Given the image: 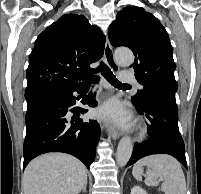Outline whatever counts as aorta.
I'll return each mask as SVG.
<instances>
[{"label": "aorta", "mask_w": 201, "mask_h": 194, "mask_svg": "<svg viewBox=\"0 0 201 194\" xmlns=\"http://www.w3.org/2000/svg\"><path fill=\"white\" fill-rule=\"evenodd\" d=\"M115 59L119 65L129 66L134 61V56L131 50L127 48H118L115 50ZM133 151V145L129 137H123L118 144L116 161L120 166H124L129 161Z\"/></svg>", "instance_id": "obj_1"}]
</instances>
